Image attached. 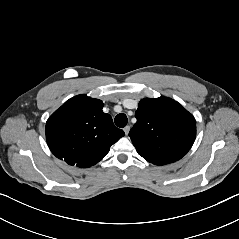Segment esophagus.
Instances as JSON below:
<instances>
[{
  "instance_id": "34e87169",
  "label": "esophagus",
  "mask_w": 239,
  "mask_h": 239,
  "mask_svg": "<svg viewBox=\"0 0 239 239\" xmlns=\"http://www.w3.org/2000/svg\"><path fill=\"white\" fill-rule=\"evenodd\" d=\"M123 130H124L125 135H128V133L130 131V126H126Z\"/></svg>"
}]
</instances>
